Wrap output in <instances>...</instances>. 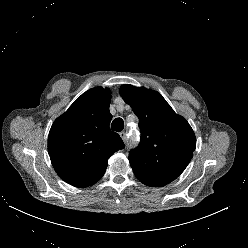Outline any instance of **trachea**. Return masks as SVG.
Segmentation results:
<instances>
[{
    "label": "trachea",
    "mask_w": 248,
    "mask_h": 248,
    "mask_svg": "<svg viewBox=\"0 0 248 248\" xmlns=\"http://www.w3.org/2000/svg\"><path fill=\"white\" fill-rule=\"evenodd\" d=\"M124 128V121L121 118H116L111 124V129L116 132L122 131Z\"/></svg>",
    "instance_id": "trachea-1"
}]
</instances>
